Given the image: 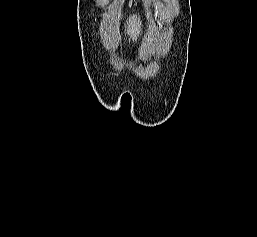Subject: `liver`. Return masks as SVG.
Returning a JSON list of instances; mask_svg holds the SVG:
<instances>
[{
  "mask_svg": "<svg viewBox=\"0 0 257 237\" xmlns=\"http://www.w3.org/2000/svg\"><path fill=\"white\" fill-rule=\"evenodd\" d=\"M126 31L130 38L136 40L137 36L139 35V19L137 22V17L132 16L129 18L127 21Z\"/></svg>",
  "mask_w": 257,
  "mask_h": 237,
  "instance_id": "6515ba94",
  "label": "liver"
}]
</instances>
